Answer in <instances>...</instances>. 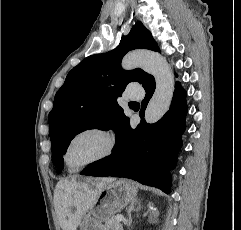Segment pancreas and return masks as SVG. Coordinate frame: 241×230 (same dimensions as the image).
Segmentation results:
<instances>
[{
	"mask_svg": "<svg viewBox=\"0 0 241 230\" xmlns=\"http://www.w3.org/2000/svg\"><path fill=\"white\" fill-rule=\"evenodd\" d=\"M106 230H122V224L116 219V217H112L111 219L105 222Z\"/></svg>",
	"mask_w": 241,
	"mask_h": 230,
	"instance_id": "cf45deb5",
	"label": "pancreas"
}]
</instances>
